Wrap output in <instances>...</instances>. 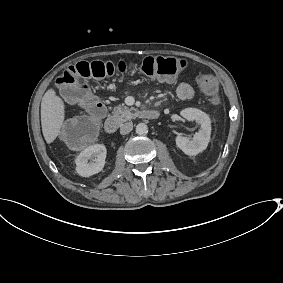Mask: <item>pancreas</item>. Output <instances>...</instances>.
<instances>
[{
	"label": "pancreas",
	"mask_w": 283,
	"mask_h": 283,
	"mask_svg": "<svg viewBox=\"0 0 283 283\" xmlns=\"http://www.w3.org/2000/svg\"><path fill=\"white\" fill-rule=\"evenodd\" d=\"M139 114L138 109L128 108L126 106H117L114 108L113 117L120 123L135 118Z\"/></svg>",
	"instance_id": "cf45deb5"
}]
</instances>
